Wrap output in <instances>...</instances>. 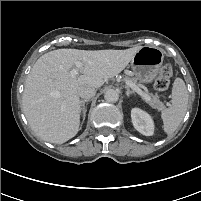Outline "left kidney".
<instances>
[{
    "mask_svg": "<svg viewBox=\"0 0 201 201\" xmlns=\"http://www.w3.org/2000/svg\"><path fill=\"white\" fill-rule=\"evenodd\" d=\"M131 118L134 128L145 136H151L154 133V122L151 116L140 108L131 110Z\"/></svg>",
    "mask_w": 201,
    "mask_h": 201,
    "instance_id": "1",
    "label": "left kidney"
}]
</instances>
